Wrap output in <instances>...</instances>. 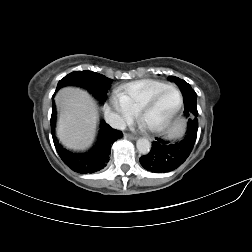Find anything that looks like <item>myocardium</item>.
<instances>
[{"label":"myocardium","instance_id":"myocardium-1","mask_svg":"<svg viewBox=\"0 0 252 252\" xmlns=\"http://www.w3.org/2000/svg\"><path fill=\"white\" fill-rule=\"evenodd\" d=\"M172 92L177 96V102L174 106V108L170 111V113L160 122L153 124V125H144L142 123V117L157 103L159 102L167 93ZM183 104V98L181 93L173 88L168 87L159 93L155 94L151 98H149L147 101H145L138 109H137V119L140 123H142L145 127V129L149 132H161L165 130L169 125L172 123L178 112L180 111Z\"/></svg>","mask_w":252,"mask_h":252}]
</instances>
